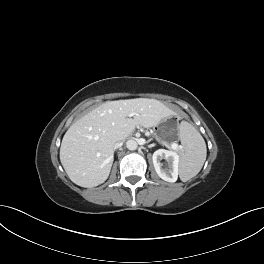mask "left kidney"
<instances>
[{
    "instance_id": "obj_1",
    "label": "left kidney",
    "mask_w": 264,
    "mask_h": 264,
    "mask_svg": "<svg viewBox=\"0 0 264 264\" xmlns=\"http://www.w3.org/2000/svg\"><path fill=\"white\" fill-rule=\"evenodd\" d=\"M165 159L168 163L167 168H163L161 160ZM153 165L158 176L167 182H176L179 171V155L175 151L158 149L152 156Z\"/></svg>"
}]
</instances>
